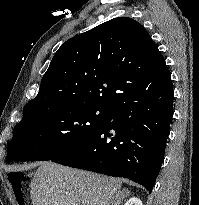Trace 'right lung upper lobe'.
I'll list each match as a JSON object with an SVG mask.
<instances>
[{
	"label": "right lung upper lobe",
	"mask_w": 199,
	"mask_h": 205,
	"mask_svg": "<svg viewBox=\"0 0 199 205\" xmlns=\"http://www.w3.org/2000/svg\"><path fill=\"white\" fill-rule=\"evenodd\" d=\"M165 73V60L146 29L118 17L64 42L25 107L73 103L110 109L153 87Z\"/></svg>",
	"instance_id": "right-lung-upper-lobe-1"
}]
</instances>
